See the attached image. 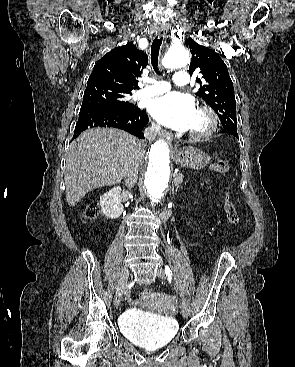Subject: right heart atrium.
<instances>
[{"label": "right heart atrium", "instance_id": "1", "mask_svg": "<svg viewBox=\"0 0 295 367\" xmlns=\"http://www.w3.org/2000/svg\"><path fill=\"white\" fill-rule=\"evenodd\" d=\"M152 128H153V130H155V131H158V130H159V127H158L156 124H153V125H152Z\"/></svg>", "mask_w": 295, "mask_h": 367}]
</instances>
